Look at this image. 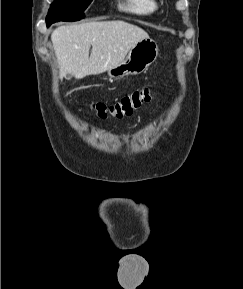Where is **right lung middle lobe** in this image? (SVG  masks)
Masks as SVG:
<instances>
[{
	"label": "right lung middle lobe",
	"mask_w": 243,
	"mask_h": 289,
	"mask_svg": "<svg viewBox=\"0 0 243 289\" xmlns=\"http://www.w3.org/2000/svg\"><path fill=\"white\" fill-rule=\"evenodd\" d=\"M92 0H54L46 17L47 23L77 21L84 17L83 12Z\"/></svg>",
	"instance_id": "dd1d6c3e"
}]
</instances>
